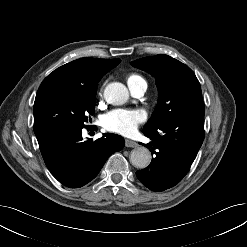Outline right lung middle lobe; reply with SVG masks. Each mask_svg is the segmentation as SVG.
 I'll list each match as a JSON object with an SVG mask.
<instances>
[{"label":"right lung middle lobe","instance_id":"1","mask_svg":"<svg viewBox=\"0 0 247 247\" xmlns=\"http://www.w3.org/2000/svg\"><path fill=\"white\" fill-rule=\"evenodd\" d=\"M96 92L51 88L37 92L34 128L62 126L82 129L95 112Z\"/></svg>","mask_w":247,"mask_h":247}]
</instances>
